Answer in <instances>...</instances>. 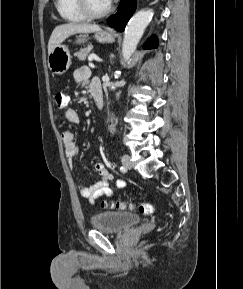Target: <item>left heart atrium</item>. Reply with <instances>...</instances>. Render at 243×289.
<instances>
[{
	"mask_svg": "<svg viewBox=\"0 0 243 289\" xmlns=\"http://www.w3.org/2000/svg\"><path fill=\"white\" fill-rule=\"evenodd\" d=\"M112 0H107L108 3H110Z\"/></svg>",
	"mask_w": 243,
	"mask_h": 289,
	"instance_id": "39dd6f15",
	"label": "left heart atrium"
}]
</instances>
